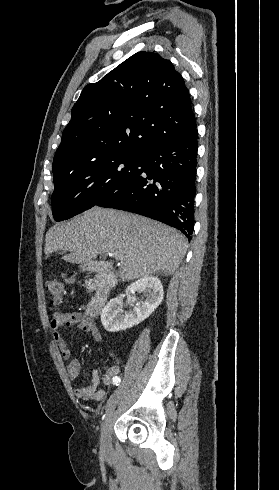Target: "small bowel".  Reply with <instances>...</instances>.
Listing matches in <instances>:
<instances>
[{
	"instance_id": "1",
	"label": "small bowel",
	"mask_w": 279,
	"mask_h": 490,
	"mask_svg": "<svg viewBox=\"0 0 279 490\" xmlns=\"http://www.w3.org/2000/svg\"><path fill=\"white\" fill-rule=\"evenodd\" d=\"M49 325L52 329V338L57 343L61 356L65 360H69L67 365L68 376L71 380H75L81 372L80 362L76 359H71L72 351L58 330L63 327L77 326L79 329L89 333L95 341L101 340V334L91 320L85 317L83 313L76 311H56L51 313ZM100 351L106 354L112 363L102 377L96 369L92 370L89 385H84V381L77 382L75 395L78 398L98 402L103 401L107 395V390L98 388L99 384L102 382L105 386L110 387L118 379L120 367L117 356L113 351L105 347H101Z\"/></svg>"
}]
</instances>
